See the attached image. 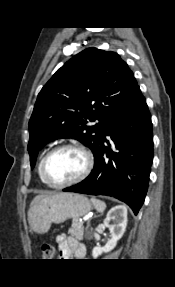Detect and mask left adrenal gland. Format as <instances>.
<instances>
[{"label": "left adrenal gland", "instance_id": "obj_1", "mask_svg": "<svg viewBox=\"0 0 175 287\" xmlns=\"http://www.w3.org/2000/svg\"><path fill=\"white\" fill-rule=\"evenodd\" d=\"M89 224H90V220L88 221V225H87V228L89 227Z\"/></svg>", "mask_w": 175, "mask_h": 287}]
</instances>
